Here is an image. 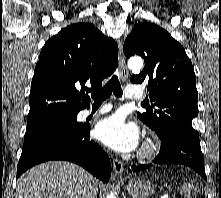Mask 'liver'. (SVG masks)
I'll return each mask as SVG.
<instances>
[{"instance_id":"liver-1","label":"liver","mask_w":221,"mask_h":198,"mask_svg":"<svg viewBox=\"0 0 221 198\" xmlns=\"http://www.w3.org/2000/svg\"><path fill=\"white\" fill-rule=\"evenodd\" d=\"M92 176L83 168L65 161L37 165L17 182L15 198H87Z\"/></svg>"}]
</instances>
